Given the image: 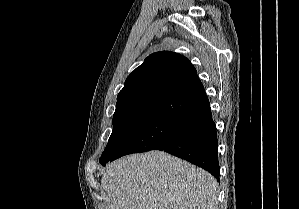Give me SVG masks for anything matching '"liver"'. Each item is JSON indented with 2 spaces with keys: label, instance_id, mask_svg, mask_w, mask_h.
Wrapping results in <instances>:
<instances>
[{
  "label": "liver",
  "instance_id": "obj_1",
  "mask_svg": "<svg viewBox=\"0 0 299 209\" xmlns=\"http://www.w3.org/2000/svg\"><path fill=\"white\" fill-rule=\"evenodd\" d=\"M101 186L111 200L104 209H218L216 179L164 151L116 160Z\"/></svg>",
  "mask_w": 299,
  "mask_h": 209
}]
</instances>
